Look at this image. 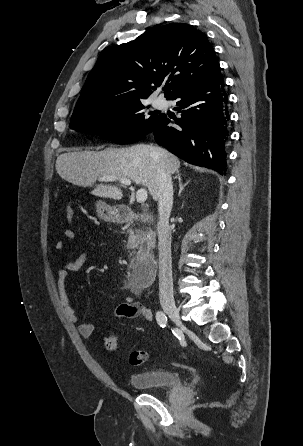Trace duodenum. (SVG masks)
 <instances>
[{"mask_svg": "<svg viewBox=\"0 0 303 446\" xmlns=\"http://www.w3.org/2000/svg\"><path fill=\"white\" fill-rule=\"evenodd\" d=\"M116 217L120 222H152L154 220L151 213H136L127 207L119 209ZM156 271L157 262L154 256L137 255L131 261L130 281L135 288L142 289L153 281Z\"/></svg>", "mask_w": 303, "mask_h": 446, "instance_id": "1", "label": "duodenum"}]
</instances>
